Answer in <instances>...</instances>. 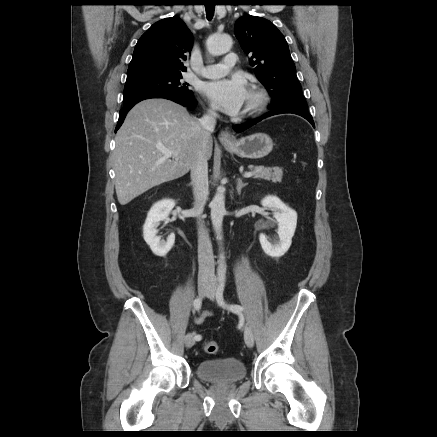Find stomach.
<instances>
[{
    "label": "stomach",
    "instance_id": "obj_1",
    "mask_svg": "<svg viewBox=\"0 0 437 437\" xmlns=\"http://www.w3.org/2000/svg\"><path fill=\"white\" fill-rule=\"evenodd\" d=\"M230 153L242 158L260 159L267 156L273 149V141L267 134L255 133L239 140L224 143Z\"/></svg>",
    "mask_w": 437,
    "mask_h": 437
}]
</instances>
